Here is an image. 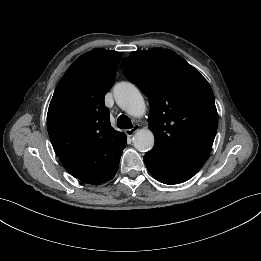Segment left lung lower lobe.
Here are the masks:
<instances>
[{
  "label": "left lung lower lobe",
  "instance_id": "1",
  "mask_svg": "<svg viewBox=\"0 0 261 261\" xmlns=\"http://www.w3.org/2000/svg\"><path fill=\"white\" fill-rule=\"evenodd\" d=\"M148 171L164 184H178L194 176L204 163L181 162L149 151L144 156Z\"/></svg>",
  "mask_w": 261,
  "mask_h": 261
}]
</instances>
